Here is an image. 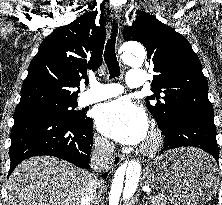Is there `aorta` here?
Wrapping results in <instances>:
<instances>
[{
  "instance_id": "aorta-1",
  "label": "aorta",
  "mask_w": 222,
  "mask_h": 205,
  "mask_svg": "<svg viewBox=\"0 0 222 205\" xmlns=\"http://www.w3.org/2000/svg\"><path fill=\"white\" fill-rule=\"evenodd\" d=\"M146 56L144 47L139 43H127L121 58L130 66L140 65ZM142 175V165L138 160L122 164L115 172L108 198L109 205L127 203L137 192Z\"/></svg>"
}]
</instances>
